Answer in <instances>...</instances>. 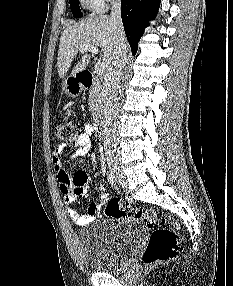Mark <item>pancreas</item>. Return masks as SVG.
Wrapping results in <instances>:
<instances>
[{"label": "pancreas", "instance_id": "pancreas-1", "mask_svg": "<svg viewBox=\"0 0 233 286\" xmlns=\"http://www.w3.org/2000/svg\"><path fill=\"white\" fill-rule=\"evenodd\" d=\"M104 87L98 81L91 89L89 95L90 111L94 120H97L103 111L105 100Z\"/></svg>", "mask_w": 233, "mask_h": 286}]
</instances>
